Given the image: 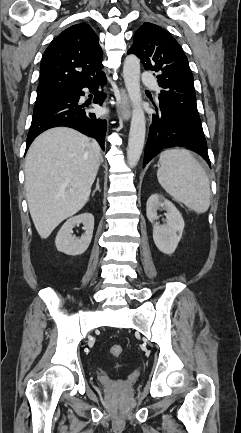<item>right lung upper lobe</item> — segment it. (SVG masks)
Instances as JSON below:
<instances>
[{"label": "right lung upper lobe", "mask_w": 241, "mask_h": 433, "mask_svg": "<svg viewBox=\"0 0 241 433\" xmlns=\"http://www.w3.org/2000/svg\"><path fill=\"white\" fill-rule=\"evenodd\" d=\"M99 38L86 23L73 25L45 50L37 96L60 93L72 85L92 82L104 73Z\"/></svg>", "instance_id": "right-lung-upper-lobe-1"}]
</instances>
